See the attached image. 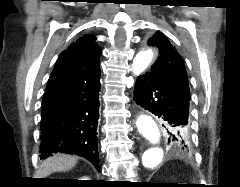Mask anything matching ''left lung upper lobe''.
Masks as SVG:
<instances>
[{
  "instance_id": "obj_1",
  "label": "left lung upper lobe",
  "mask_w": 240,
  "mask_h": 187,
  "mask_svg": "<svg viewBox=\"0 0 240 187\" xmlns=\"http://www.w3.org/2000/svg\"><path fill=\"white\" fill-rule=\"evenodd\" d=\"M147 44L159 49V57L151 67L150 72L167 84L177 89L189 92L188 76L183 59L176 49L170 44L166 36L160 31H157L148 39ZM177 130L186 137V139H189L191 143L189 127L177 128ZM190 148L191 144L188 149Z\"/></svg>"
}]
</instances>
